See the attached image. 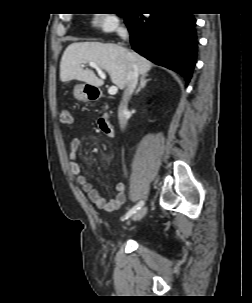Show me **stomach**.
<instances>
[{
    "instance_id": "1",
    "label": "stomach",
    "mask_w": 252,
    "mask_h": 303,
    "mask_svg": "<svg viewBox=\"0 0 252 303\" xmlns=\"http://www.w3.org/2000/svg\"><path fill=\"white\" fill-rule=\"evenodd\" d=\"M87 89V84H77L74 87V97L80 101H87L89 99Z\"/></svg>"
}]
</instances>
